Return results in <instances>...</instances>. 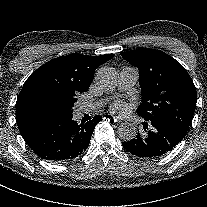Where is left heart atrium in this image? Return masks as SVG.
<instances>
[{"mask_svg": "<svg viewBox=\"0 0 207 207\" xmlns=\"http://www.w3.org/2000/svg\"><path fill=\"white\" fill-rule=\"evenodd\" d=\"M110 108L113 112L119 113L121 115H125L129 111V107H128L127 103H125L124 101H121V100H117V101L113 102L111 104Z\"/></svg>", "mask_w": 207, "mask_h": 207, "instance_id": "obj_1", "label": "left heart atrium"}]
</instances>
